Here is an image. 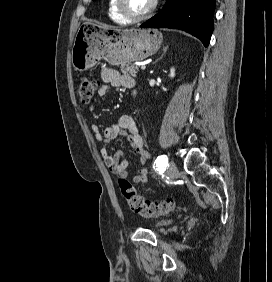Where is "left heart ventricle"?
<instances>
[{
  "label": "left heart ventricle",
  "instance_id": "left-heart-ventricle-1",
  "mask_svg": "<svg viewBox=\"0 0 272 282\" xmlns=\"http://www.w3.org/2000/svg\"><path fill=\"white\" fill-rule=\"evenodd\" d=\"M153 0H126L128 8L135 14H143L148 11Z\"/></svg>",
  "mask_w": 272,
  "mask_h": 282
}]
</instances>
